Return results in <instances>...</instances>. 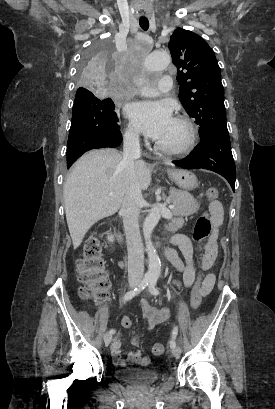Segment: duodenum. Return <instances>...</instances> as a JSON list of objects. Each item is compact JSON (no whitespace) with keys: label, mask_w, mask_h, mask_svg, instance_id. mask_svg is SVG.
Instances as JSON below:
<instances>
[{"label":"duodenum","mask_w":275,"mask_h":409,"mask_svg":"<svg viewBox=\"0 0 275 409\" xmlns=\"http://www.w3.org/2000/svg\"><path fill=\"white\" fill-rule=\"evenodd\" d=\"M115 231H116V236H117L118 241H119V242H122V241H123V238H122L121 233L117 230V228H115Z\"/></svg>","instance_id":"1"}]
</instances>
